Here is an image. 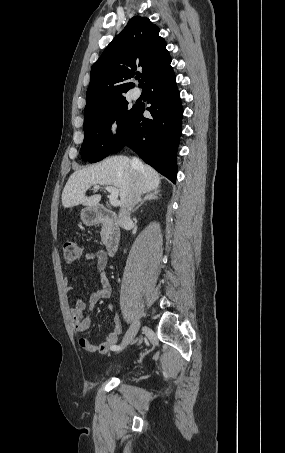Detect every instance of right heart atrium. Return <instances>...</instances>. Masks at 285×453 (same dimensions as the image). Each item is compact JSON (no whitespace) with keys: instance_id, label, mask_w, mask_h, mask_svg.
Instances as JSON below:
<instances>
[{"instance_id":"right-heart-atrium-1","label":"right heart atrium","mask_w":285,"mask_h":453,"mask_svg":"<svg viewBox=\"0 0 285 453\" xmlns=\"http://www.w3.org/2000/svg\"><path fill=\"white\" fill-rule=\"evenodd\" d=\"M122 125L119 119L115 118L112 119L108 126H107V131L110 137H116L120 131H121Z\"/></svg>"}]
</instances>
